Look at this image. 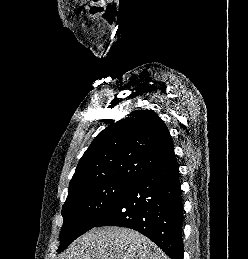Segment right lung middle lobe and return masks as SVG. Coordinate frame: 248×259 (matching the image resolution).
I'll return each instance as SVG.
<instances>
[{
  "label": "right lung middle lobe",
  "mask_w": 248,
  "mask_h": 259,
  "mask_svg": "<svg viewBox=\"0 0 248 259\" xmlns=\"http://www.w3.org/2000/svg\"><path fill=\"white\" fill-rule=\"evenodd\" d=\"M132 182L112 180L68 191L62 208L61 252L77 237L95 227L117 204Z\"/></svg>",
  "instance_id": "right-lung-middle-lobe-1"
}]
</instances>
